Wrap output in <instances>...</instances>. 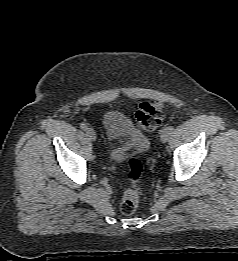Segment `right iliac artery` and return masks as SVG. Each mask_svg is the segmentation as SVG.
Here are the masks:
<instances>
[{"label":"right iliac artery","mask_w":238,"mask_h":261,"mask_svg":"<svg viewBox=\"0 0 238 261\" xmlns=\"http://www.w3.org/2000/svg\"><path fill=\"white\" fill-rule=\"evenodd\" d=\"M80 128L83 129V130H86L87 129V125L85 123H81L80 124Z\"/></svg>","instance_id":"obj_1"}]
</instances>
